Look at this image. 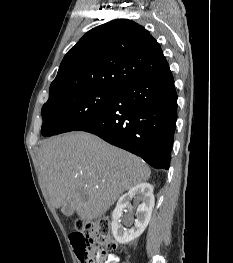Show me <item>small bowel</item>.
<instances>
[{
  "label": "small bowel",
  "mask_w": 233,
  "mask_h": 263,
  "mask_svg": "<svg viewBox=\"0 0 233 263\" xmlns=\"http://www.w3.org/2000/svg\"><path fill=\"white\" fill-rule=\"evenodd\" d=\"M119 262H120V259L117 255L110 254L108 255L105 263H119Z\"/></svg>",
  "instance_id": "c3829d8e"
}]
</instances>
